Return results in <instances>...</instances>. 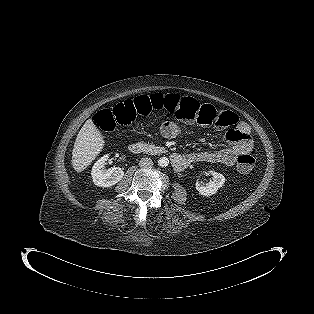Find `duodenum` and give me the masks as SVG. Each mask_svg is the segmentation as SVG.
Returning <instances> with one entry per match:
<instances>
[{
  "instance_id": "duodenum-1",
  "label": "duodenum",
  "mask_w": 314,
  "mask_h": 314,
  "mask_svg": "<svg viewBox=\"0 0 314 314\" xmlns=\"http://www.w3.org/2000/svg\"><path fill=\"white\" fill-rule=\"evenodd\" d=\"M144 145L140 142H135L130 144L129 151L132 154L138 155L144 152ZM171 165L175 171H183L188 167V165L194 162L193 157L191 156H183L177 153H173L170 155Z\"/></svg>"
}]
</instances>
